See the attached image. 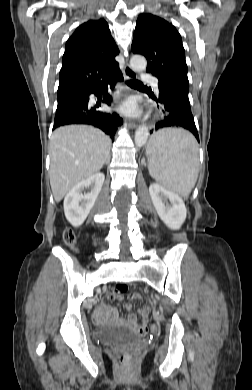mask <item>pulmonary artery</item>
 <instances>
[{
	"label": "pulmonary artery",
	"mask_w": 252,
	"mask_h": 390,
	"mask_svg": "<svg viewBox=\"0 0 252 390\" xmlns=\"http://www.w3.org/2000/svg\"><path fill=\"white\" fill-rule=\"evenodd\" d=\"M143 80L144 81H151V83L154 86L156 92H158V81L156 79L152 78L149 75H143Z\"/></svg>",
	"instance_id": "e3ab8cb5"
}]
</instances>
